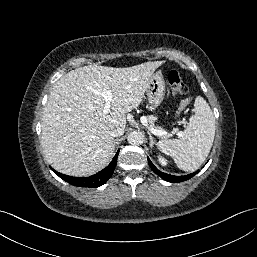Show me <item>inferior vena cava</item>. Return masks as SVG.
<instances>
[{
    "mask_svg": "<svg viewBox=\"0 0 257 257\" xmlns=\"http://www.w3.org/2000/svg\"><path fill=\"white\" fill-rule=\"evenodd\" d=\"M123 133H124V129L123 128H116V129H113L110 132V135L112 137H118V136H121Z\"/></svg>",
    "mask_w": 257,
    "mask_h": 257,
    "instance_id": "602c4592",
    "label": "inferior vena cava"
}]
</instances>
